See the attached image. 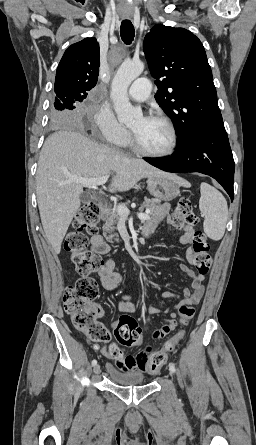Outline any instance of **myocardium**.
<instances>
[{
	"mask_svg": "<svg viewBox=\"0 0 256 445\" xmlns=\"http://www.w3.org/2000/svg\"><path fill=\"white\" fill-rule=\"evenodd\" d=\"M146 119L160 121L165 124L170 132V144L169 147L161 152H152L145 149L139 142L136 135L131 131V144L133 148L141 155L153 158H164L172 155L178 144V134L173 122L166 116L162 114H149L145 117Z\"/></svg>",
	"mask_w": 256,
	"mask_h": 445,
	"instance_id": "obj_1",
	"label": "myocardium"
}]
</instances>
